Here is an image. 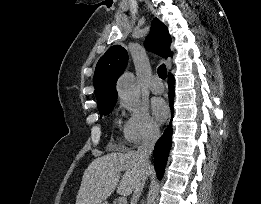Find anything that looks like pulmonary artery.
Wrapping results in <instances>:
<instances>
[{
	"label": "pulmonary artery",
	"instance_id": "obj_1",
	"mask_svg": "<svg viewBox=\"0 0 261 204\" xmlns=\"http://www.w3.org/2000/svg\"><path fill=\"white\" fill-rule=\"evenodd\" d=\"M149 88L155 94H160L164 91V86L157 76L151 78Z\"/></svg>",
	"mask_w": 261,
	"mask_h": 204
}]
</instances>
